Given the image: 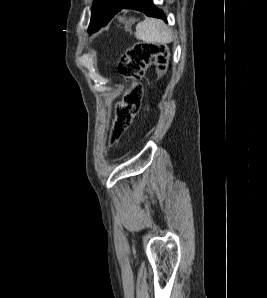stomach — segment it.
Here are the masks:
<instances>
[{
    "instance_id": "1",
    "label": "stomach",
    "mask_w": 267,
    "mask_h": 298,
    "mask_svg": "<svg viewBox=\"0 0 267 298\" xmlns=\"http://www.w3.org/2000/svg\"><path fill=\"white\" fill-rule=\"evenodd\" d=\"M119 19H120V21H124L125 20L124 18H121V17Z\"/></svg>"
}]
</instances>
